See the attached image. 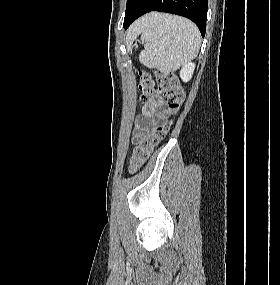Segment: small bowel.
<instances>
[{"instance_id":"small-bowel-1","label":"small bowel","mask_w":280,"mask_h":285,"mask_svg":"<svg viewBox=\"0 0 280 285\" xmlns=\"http://www.w3.org/2000/svg\"><path fill=\"white\" fill-rule=\"evenodd\" d=\"M166 115L167 110L164 107L162 96L155 94L149 102L142 107V112L134 132V140L137 141L141 138L156 121L164 119Z\"/></svg>"}]
</instances>
